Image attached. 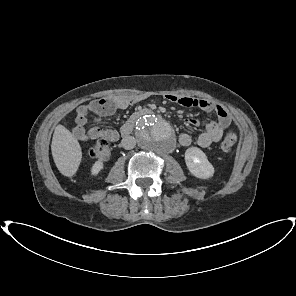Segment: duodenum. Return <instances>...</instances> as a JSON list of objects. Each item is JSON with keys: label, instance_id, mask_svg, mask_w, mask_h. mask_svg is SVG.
I'll return each instance as SVG.
<instances>
[{"label": "duodenum", "instance_id": "1", "mask_svg": "<svg viewBox=\"0 0 296 296\" xmlns=\"http://www.w3.org/2000/svg\"><path fill=\"white\" fill-rule=\"evenodd\" d=\"M150 114H152V110L148 108H143L134 112L121 127V135L123 137H127L128 135H130L135 127L137 120L145 115H150Z\"/></svg>", "mask_w": 296, "mask_h": 296}]
</instances>
